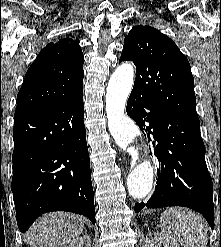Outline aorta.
Instances as JSON below:
<instances>
[{"instance_id":"obj_1","label":"aorta","mask_w":221,"mask_h":247,"mask_svg":"<svg viewBox=\"0 0 221 247\" xmlns=\"http://www.w3.org/2000/svg\"><path fill=\"white\" fill-rule=\"evenodd\" d=\"M133 68L128 64L119 66L111 76L106 93L108 127L116 144L123 150L141 137L135 123L125 115V106L133 86ZM154 171L148 159L141 160L127 178L129 194L134 199L146 197L153 186Z\"/></svg>"}]
</instances>
